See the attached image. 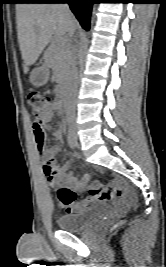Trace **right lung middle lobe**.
Segmentation results:
<instances>
[{"label":"right lung middle lobe","mask_w":166,"mask_h":267,"mask_svg":"<svg viewBox=\"0 0 166 267\" xmlns=\"http://www.w3.org/2000/svg\"><path fill=\"white\" fill-rule=\"evenodd\" d=\"M19 1H31V0H19Z\"/></svg>","instance_id":"dd1d6c3e"}]
</instances>
